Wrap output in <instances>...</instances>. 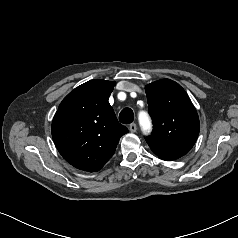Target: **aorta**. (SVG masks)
Returning <instances> with one entry per match:
<instances>
[{
	"label": "aorta",
	"instance_id": "762f6f07",
	"mask_svg": "<svg viewBox=\"0 0 238 238\" xmlns=\"http://www.w3.org/2000/svg\"><path fill=\"white\" fill-rule=\"evenodd\" d=\"M139 122L144 133L151 131V121L147 113L143 112L139 114Z\"/></svg>",
	"mask_w": 238,
	"mask_h": 238
}]
</instances>
